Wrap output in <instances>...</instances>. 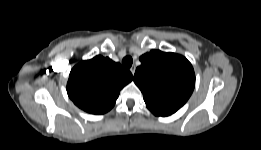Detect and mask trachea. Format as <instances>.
Returning <instances> with one entry per match:
<instances>
[{
	"mask_svg": "<svg viewBox=\"0 0 261 150\" xmlns=\"http://www.w3.org/2000/svg\"><path fill=\"white\" fill-rule=\"evenodd\" d=\"M133 63V59L131 56H126L123 60H122V64L124 67L126 68H130L132 66Z\"/></svg>",
	"mask_w": 261,
	"mask_h": 150,
	"instance_id": "3493384b",
	"label": "trachea"
}]
</instances>
